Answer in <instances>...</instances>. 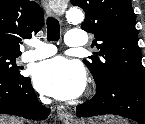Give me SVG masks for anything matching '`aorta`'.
Returning a JSON list of instances; mask_svg holds the SVG:
<instances>
[{
	"label": "aorta",
	"instance_id": "1",
	"mask_svg": "<svg viewBox=\"0 0 145 124\" xmlns=\"http://www.w3.org/2000/svg\"><path fill=\"white\" fill-rule=\"evenodd\" d=\"M66 18L70 23H80L83 21L84 15L79 9L71 8L66 12Z\"/></svg>",
	"mask_w": 145,
	"mask_h": 124
}]
</instances>
